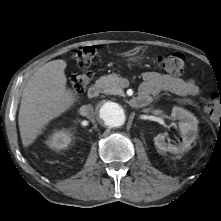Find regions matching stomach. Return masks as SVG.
<instances>
[{"label": "stomach", "instance_id": "obj_1", "mask_svg": "<svg viewBox=\"0 0 221 221\" xmlns=\"http://www.w3.org/2000/svg\"><path fill=\"white\" fill-rule=\"evenodd\" d=\"M125 56L128 58V61L132 63H138L142 60V54L139 50H130L125 54Z\"/></svg>", "mask_w": 221, "mask_h": 221}]
</instances>
